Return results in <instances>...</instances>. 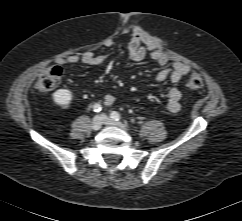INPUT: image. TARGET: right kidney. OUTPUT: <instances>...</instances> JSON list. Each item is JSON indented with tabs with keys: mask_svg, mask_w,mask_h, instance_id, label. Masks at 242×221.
<instances>
[{
	"mask_svg": "<svg viewBox=\"0 0 242 221\" xmlns=\"http://www.w3.org/2000/svg\"><path fill=\"white\" fill-rule=\"evenodd\" d=\"M53 100L62 108H68L72 100V93L68 89H59L53 93Z\"/></svg>",
	"mask_w": 242,
	"mask_h": 221,
	"instance_id": "1",
	"label": "right kidney"
}]
</instances>
